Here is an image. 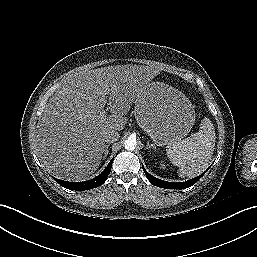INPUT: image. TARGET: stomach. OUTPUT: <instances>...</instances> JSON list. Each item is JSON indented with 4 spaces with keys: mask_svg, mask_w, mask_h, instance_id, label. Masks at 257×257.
I'll return each instance as SVG.
<instances>
[{
    "mask_svg": "<svg viewBox=\"0 0 257 257\" xmlns=\"http://www.w3.org/2000/svg\"><path fill=\"white\" fill-rule=\"evenodd\" d=\"M137 124L157 146H172L185 138L195 123L190 100L172 86L153 82L136 99Z\"/></svg>",
    "mask_w": 257,
    "mask_h": 257,
    "instance_id": "obj_1",
    "label": "stomach"
}]
</instances>
